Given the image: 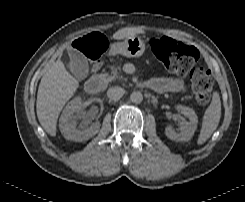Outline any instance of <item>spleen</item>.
<instances>
[{
  "label": "spleen",
  "mask_w": 245,
  "mask_h": 202,
  "mask_svg": "<svg viewBox=\"0 0 245 202\" xmlns=\"http://www.w3.org/2000/svg\"><path fill=\"white\" fill-rule=\"evenodd\" d=\"M220 118H221L220 96L217 92H214L212 96L211 104L208 106L203 116L202 128L197 141L198 145L203 144L204 142L207 141L208 138H210V136L216 130Z\"/></svg>",
  "instance_id": "spleen-1"
}]
</instances>
